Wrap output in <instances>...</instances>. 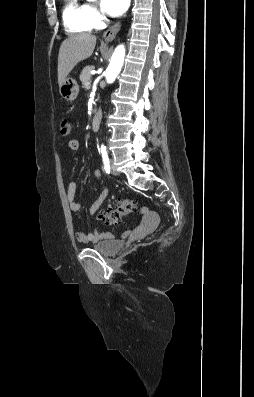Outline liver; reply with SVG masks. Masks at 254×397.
I'll return each mask as SVG.
<instances>
[{
  "instance_id": "obj_1",
  "label": "liver",
  "mask_w": 254,
  "mask_h": 397,
  "mask_svg": "<svg viewBox=\"0 0 254 397\" xmlns=\"http://www.w3.org/2000/svg\"><path fill=\"white\" fill-rule=\"evenodd\" d=\"M96 40L97 38L94 35L79 34L70 36L62 42L58 55L59 87L79 62L92 55Z\"/></svg>"
}]
</instances>
